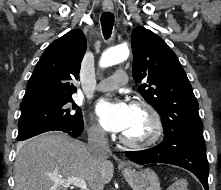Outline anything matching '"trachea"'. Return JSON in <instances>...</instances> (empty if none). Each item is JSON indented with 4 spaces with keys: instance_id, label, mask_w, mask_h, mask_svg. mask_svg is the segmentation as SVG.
I'll use <instances>...</instances> for the list:
<instances>
[{
    "instance_id": "3493384b",
    "label": "trachea",
    "mask_w": 221,
    "mask_h": 190,
    "mask_svg": "<svg viewBox=\"0 0 221 190\" xmlns=\"http://www.w3.org/2000/svg\"><path fill=\"white\" fill-rule=\"evenodd\" d=\"M114 25V15L110 12H105L101 16L102 32L105 39H109L112 34Z\"/></svg>"
}]
</instances>
